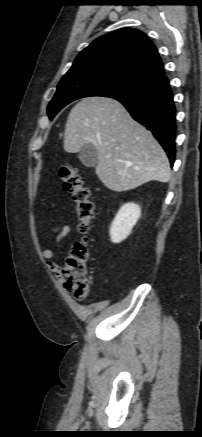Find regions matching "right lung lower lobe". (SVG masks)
<instances>
[{"mask_svg": "<svg viewBox=\"0 0 202 437\" xmlns=\"http://www.w3.org/2000/svg\"><path fill=\"white\" fill-rule=\"evenodd\" d=\"M114 99L121 102L136 121L152 132L173 165L176 153V108L167 78L160 77L137 94L117 96Z\"/></svg>", "mask_w": 202, "mask_h": 437, "instance_id": "98d812e1", "label": "right lung lower lobe"}]
</instances>
